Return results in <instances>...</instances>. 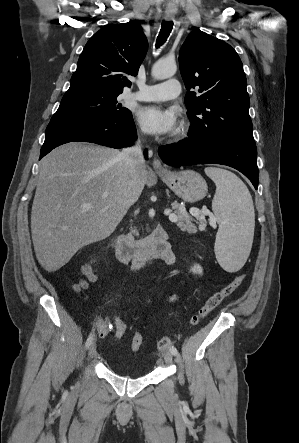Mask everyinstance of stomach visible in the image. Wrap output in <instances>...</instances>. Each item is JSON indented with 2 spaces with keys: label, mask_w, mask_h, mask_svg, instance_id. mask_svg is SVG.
Here are the masks:
<instances>
[{
  "label": "stomach",
  "mask_w": 299,
  "mask_h": 443,
  "mask_svg": "<svg viewBox=\"0 0 299 443\" xmlns=\"http://www.w3.org/2000/svg\"><path fill=\"white\" fill-rule=\"evenodd\" d=\"M162 181L181 199L194 203L202 200L208 191L204 178L193 170L159 173Z\"/></svg>",
  "instance_id": "1"
}]
</instances>
